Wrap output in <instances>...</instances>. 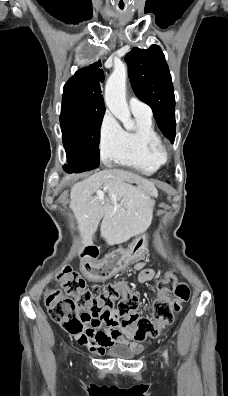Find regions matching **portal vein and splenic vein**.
<instances>
[{"mask_svg":"<svg viewBox=\"0 0 228 396\" xmlns=\"http://www.w3.org/2000/svg\"><path fill=\"white\" fill-rule=\"evenodd\" d=\"M104 191H106V188L103 191H97L96 194L102 199L104 197Z\"/></svg>","mask_w":228,"mask_h":396,"instance_id":"18ae733b","label":"portal vein and splenic vein"}]
</instances>
